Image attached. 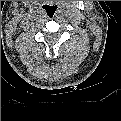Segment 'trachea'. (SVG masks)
Here are the masks:
<instances>
[{"label":"trachea","instance_id":"1","mask_svg":"<svg viewBox=\"0 0 121 121\" xmlns=\"http://www.w3.org/2000/svg\"><path fill=\"white\" fill-rule=\"evenodd\" d=\"M46 13L49 18H53L56 15L57 11L55 7L49 6L48 8H46Z\"/></svg>","mask_w":121,"mask_h":121}]
</instances>
